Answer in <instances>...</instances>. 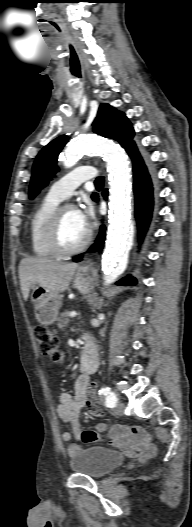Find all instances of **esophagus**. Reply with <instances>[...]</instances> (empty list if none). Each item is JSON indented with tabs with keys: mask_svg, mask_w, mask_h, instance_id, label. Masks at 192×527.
I'll list each match as a JSON object with an SVG mask.
<instances>
[{
	"mask_svg": "<svg viewBox=\"0 0 192 527\" xmlns=\"http://www.w3.org/2000/svg\"><path fill=\"white\" fill-rule=\"evenodd\" d=\"M94 265H95V262L92 259H87L80 266V269L86 271V270L92 269L94 267Z\"/></svg>",
	"mask_w": 192,
	"mask_h": 527,
	"instance_id": "obj_1",
	"label": "esophagus"
}]
</instances>
